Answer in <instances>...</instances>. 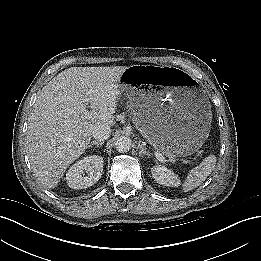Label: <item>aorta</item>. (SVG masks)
<instances>
[{"mask_svg": "<svg viewBox=\"0 0 261 261\" xmlns=\"http://www.w3.org/2000/svg\"><path fill=\"white\" fill-rule=\"evenodd\" d=\"M132 141L130 137L127 136H120L115 141V149L119 153L128 152L131 149Z\"/></svg>", "mask_w": 261, "mask_h": 261, "instance_id": "762f6f07", "label": "aorta"}]
</instances>
